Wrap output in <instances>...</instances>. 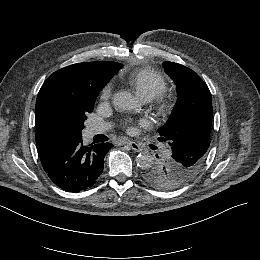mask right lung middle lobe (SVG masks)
<instances>
[{"mask_svg":"<svg viewBox=\"0 0 260 260\" xmlns=\"http://www.w3.org/2000/svg\"><path fill=\"white\" fill-rule=\"evenodd\" d=\"M102 88H86L58 107V124L64 129L76 131L81 137L87 114L94 109L98 93Z\"/></svg>","mask_w":260,"mask_h":260,"instance_id":"dd1d6c3e","label":"right lung middle lobe"}]
</instances>
